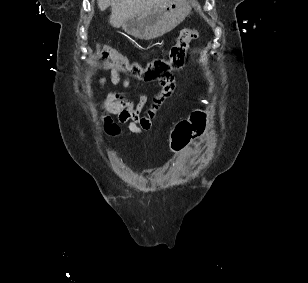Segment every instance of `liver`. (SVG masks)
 I'll use <instances>...</instances> for the list:
<instances>
[{"label":"liver","instance_id":"obj_1","mask_svg":"<svg viewBox=\"0 0 308 283\" xmlns=\"http://www.w3.org/2000/svg\"><path fill=\"white\" fill-rule=\"evenodd\" d=\"M166 1L167 0H97V4L100 9L111 6L112 13L109 18V23L113 27H120L129 17Z\"/></svg>","mask_w":308,"mask_h":283}]
</instances>
